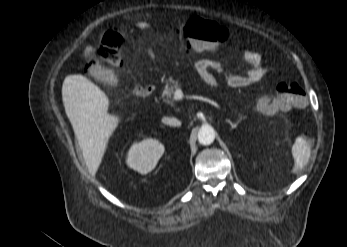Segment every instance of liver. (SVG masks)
<instances>
[{"instance_id": "liver-1", "label": "liver", "mask_w": 347, "mask_h": 247, "mask_svg": "<svg viewBox=\"0 0 347 247\" xmlns=\"http://www.w3.org/2000/svg\"><path fill=\"white\" fill-rule=\"evenodd\" d=\"M62 99L88 170L95 175L120 118L107 112L109 99L106 94L80 74L65 78Z\"/></svg>"}]
</instances>
